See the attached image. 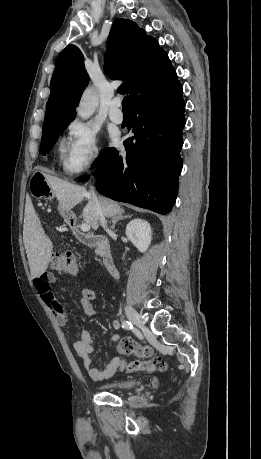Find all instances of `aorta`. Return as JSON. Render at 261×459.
I'll use <instances>...</instances> for the list:
<instances>
[{"label":"aorta","mask_w":261,"mask_h":459,"mask_svg":"<svg viewBox=\"0 0 261 459\" xmlns=\"http://www.w3.org/2000/svg\"><path fill=\"white\" fill-rule=\"evenodd\" d=\"M97 105L98 97L95 91L92 88L86 89L77 108L78 116L83 120H87L92 116Z\"/></svg>","instance_id":"aorta-1"}]
</instances>
